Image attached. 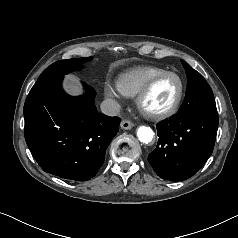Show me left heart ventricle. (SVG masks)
Listing matches in <instances>:
<instances>
[{
	"label": "left heart ventricle",
	"mask_w": 238,
	"mask_h": 238,
	"mask_svg": "<svg viewBox=\"0 0 238 238\" xmlns=\"http://www.w3.org/2000/svg\"><path fill=\"white\" fill-rule=\"evenodd\" d=\"M179 86V81L174 76H167L160 79L145 99V108L150 111L166 109L175 100Z\"/></svg>",
	"instance_id": "obj_1"
}]
</instances>
